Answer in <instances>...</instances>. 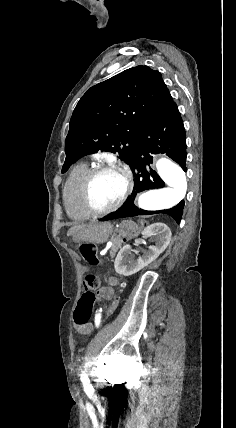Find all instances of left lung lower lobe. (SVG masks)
Listing matches in <instances>:
<instances>
[{"label":"left lung lower lobe","instance_id":"0a47b994","mask_svg":"<svg viewBox=\"0 0 236 428\" xmlns=\"http://www.w3.org/2000/svg\"><path fill=\"white\" fill-rule=\"evenodd\" d=\"M137 144L139 149L135 152L133 163L130 165L135 176L133 192L120 209L101 218L100 221L163 213L170 215L179 223L183 214L184 200L171 209L160 211H146L134 205V198L139 192L165 186L163 180L149 166L152 163L150 153H166L184 171H187L185 129L174 101L161 115L151 120L143 128Z\"/></svg>","mask_w":236,"mask_h":428}]
</instances>
